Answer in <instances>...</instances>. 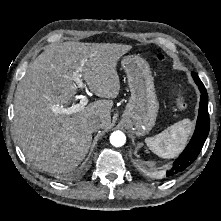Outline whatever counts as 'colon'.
Masks as SVG:
<instances>
[{"instance_id":"1","label":"colon","mask_w":221,"mask_h":221,"mask_svg":"<svg viewBox=\"0 0 221 221\" xmlns=\"http://www.w3.org/2000/svg\"><path fill=\"white\" fill-rule=\"evenodd\" d=\"M157 59L159 61H164L165 60V55L163 53H158ZM176 106L178 109L183 110L186 108V100L184 96L181 93H178L176 96Z\"/></svg>"}]
</instances>
